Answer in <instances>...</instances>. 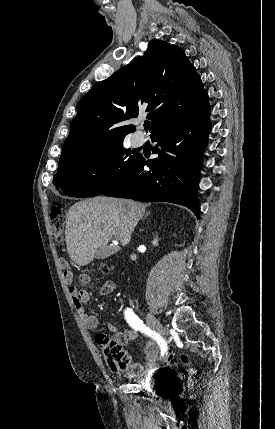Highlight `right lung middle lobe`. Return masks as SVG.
<instances>
[{
  "label": "right lung middle lobe",
  "mask_w": 275,
  "mask_h": 429,
  "mask_svg": "<svg viewBox=\"0 0 275 429\" xmlns=\"http://www.w3.org/2000/svg\"><path fill=\"white\" fill-rule=\"evenodd\" d=\"M123 147V140L88 152L58 167L53 178L64 193L74 197L100 195L121 182L140 155Z\"/></svg>",
  "instance_id": "dd1d6c3e"
}]
</instances>
